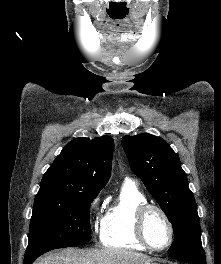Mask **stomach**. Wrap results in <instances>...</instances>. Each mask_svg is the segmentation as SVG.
I'll list each match as a JSON object with an SVG mask.
<instances>
[{"label":"stomach","instance_id":"stomach-1","mask_svg":"<svg viewBox=\"0 0 221 264\" xmlns=\"http://www.w3.org/2000/svg\"><path fill=\"white\" fill-rule=\"evenodd\" d=\"M149 264H157V263L150 262Z\"/></svg>","mask_w":221,"mask_h":264}]
</instances>
